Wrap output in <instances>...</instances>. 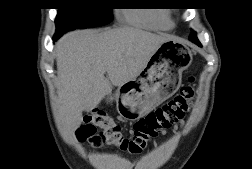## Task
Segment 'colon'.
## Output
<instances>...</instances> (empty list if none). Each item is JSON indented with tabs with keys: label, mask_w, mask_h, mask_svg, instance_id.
<instances>
[{
	"label": "colon",
	"mask_w": 252,
	"mask_h": 169,
	"mask_svg": "<svg viewBox=\"0 0 252 169\" xmlns=\"http://www.w3.org/2000/svg\"><path fill=\"white\" fill-rule=\"evenodd\" d=\"M189 80L192 83L193 78ZM194 98V87L185 85L169 102L138 120L129 135H125L121 126L105 112L90 111L77 129V138L94 147L107 144L125 153L140 154L152 139L184 118Z\"/></svg>",
	"instance_id": "5ec220e1"
}]
</instances>
